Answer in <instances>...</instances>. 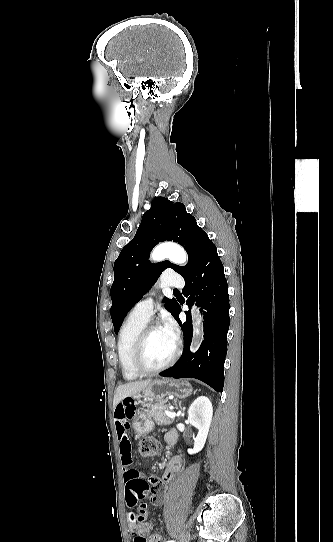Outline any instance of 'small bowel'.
<instances>
[{
	"instance_id": "c3829d8e",
	"label": "small bowel",
	"mask_w": 333,
	"mask_h": 542,
	"mask_svg": "<svg viewBox=\"0 0 333 542\" xmlns=\"http://www.w3.org/2000/svg\"><path fill=\"white\" fill-rule=\"evenodd\" d=\"M134 407V404L132 400H119L117 406L114 410V418H115V431H116V440L118 445V451L121 457V460L124 464H128L131 460V441L129 437V425L131 420L134 417V411L132 410ZM175 432V431H171ZM169 432L165 439L169 443L168 435L171 433ZM182 461L179 456H174L170 462L168 463L166 470L164 472V475L162 477V481L167 482L172 478V475L176 472H178L181 469ZM132 471H126L124 474V479L127 483L130 482L132 479ZM129 494L131 495V490L129 491ZM152 502L154 504H161L160 496L154 495L152 498ZM138 513L131 512L129 514V530L131 533L134 534H148L152 528L153 525L149 522H137L136 517ZM157 536V535H155ZM159 538V536H157ZM160 539V538H159Z\"/></svg>"
}]
</instances>
